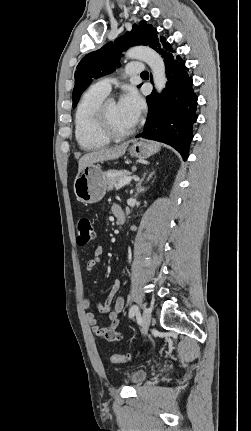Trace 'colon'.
<instances>
[{
    "label": "colon",
    "mask_w": 251,
    "mask_h": 431,
    "mask_svg": "<svg viewBox=\"0 0 251 431\" xmlns=\"http://www.w3.org/2000/svg\"><path fill=\"white\" fill-rule=\"evenodd\" d=\"M77 237L76 241L79 246H86L95 238V229L88 217H80L76 224ZM138 356V353L114 354L110 357L112 363H127Z\"/></svg>",
    "instance_id": "obj_1"
}]
</instances>
